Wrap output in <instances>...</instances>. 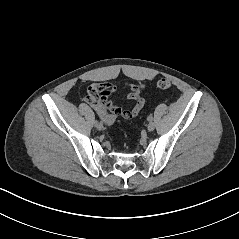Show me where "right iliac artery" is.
Segmentation results:
<instances>
[{
    "mask_svg": "<svg viewBox=\"0 0 239 239\" xmlns=\"http://www.w3.org/2000/svg\"><path fill=\"white\" fill-rule=\"evenodd\" d=\"M98 123H99L98 120H95V121H94V124H95V125L98 124Z\"/></svg>",
    "mask_w": 239,
    "mask_h": 239,
    "instance_id": "1",
    "label": "right iliac artery"
}]
</instances>
